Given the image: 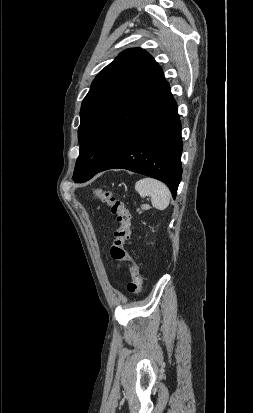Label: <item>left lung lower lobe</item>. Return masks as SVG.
<instances>
[{
    "instance_id": "1",
    "label": "left lung lower lobe",
    "mask_w": 253,
    "mask_h": 413,
    "mask_svg": "<svg viewBox=\"0 0 253 413\" xmlns=\"http://www.w3.org/2000/svg\"><path fill=\"white\" fill-rule=\"evenodd\" d=\"M181 123L170 87L96 173L123 168L164 182L175 198L181 180ZM84 181V182H85Z\"/></svg>"
}]
</instances>
